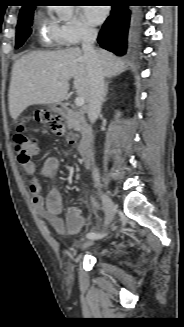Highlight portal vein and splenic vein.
Masks as SVG:
<instances>
[{"label": "portal vein and splenic vein", "instance_id": "portal-vein-and-splenic-vein-1", "mask_svg": "<svg viewBox=\"0 0 184 327\" xmlns=\"http://www.w3.org/2000/svg\"><path fill=\"white\" fill-rule=\"evenodd\" d=\"M58 86H61V84L60 83H58ZM84 98L82 97V96H78V97H76V99H75V105L77 106V107H82L83 105H84Z\"/></svg>", "mask_w": 184, "mask_h": 327}]
</instances>
